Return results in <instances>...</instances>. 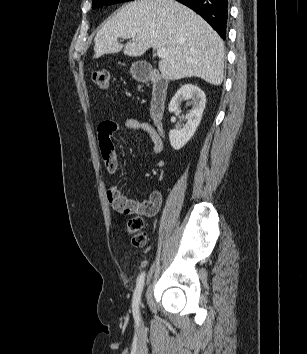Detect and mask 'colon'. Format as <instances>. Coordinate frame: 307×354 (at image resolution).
<instances>
[{
  "instance_id": "obj_1",
  "label": "colon",
  "mask_w": 307,
  "mask_h": 354,
  "mask_svg": "<svg viewBox=\"0 0 307 354\" xmlns=\"http://www.w3.org/2000/svg\"><path fill=\"white\" fill-rule=\"evenodd\" d=\"M92 77L94 83L101 88H106L109 84V72L104 68L94 70ZM101 145H103L102 141ZM118 211L128 213L127 210ZM142 215L139 214L130 218L126 224V231L131 236L132 244L138 248L145 246L147 243V235L144 232L145 221Z\"/></svg>"
}]
</instances>
